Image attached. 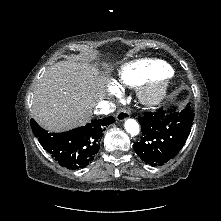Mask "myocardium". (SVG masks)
Returning a JSON list of instances; mask_svg holds the SVG:
<instances>
[{
  "mask_svg": "<svg viewBox=\"0 0 221 221\" xmlns=\"http://www.w3.org/2000/svg\"><path fill=\"white\" fill-rule=\"evenodd\" d=\"M170 80V76L165 75L149 81L139 92L141 101L149 106L160 103L167 94Z\"/></svg>",
  "mask_w": 221,
  "mask_h": 221,
  "instance_id": "f54148a6",
  "label": "myocardium"
}]
</instances>
